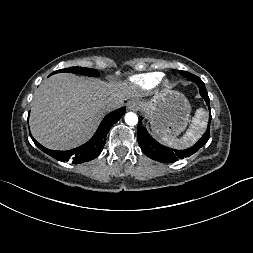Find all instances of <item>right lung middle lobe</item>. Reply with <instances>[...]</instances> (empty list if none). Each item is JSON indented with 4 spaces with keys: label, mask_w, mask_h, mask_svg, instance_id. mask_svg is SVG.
<instances>
[{
    "label": "right lung middle lobe",
    "mask_w": 253,
    "mask_h": 253,
    "mask_svg": "<svg viewBox=\"0 0 253 253\" xmlns=\"http://www.w3.org/2000/svg\"><path fill=\"white\" fill-rule=\"evenodd\" d=\"M58 72H71V73H78V74L93 76V77L99 76L98 71L91 68H83V67H70V68L55 71L54 73H58Z\"/></svg>",
    "instance_id": "dd1d6c3e"
}]
</instances>
